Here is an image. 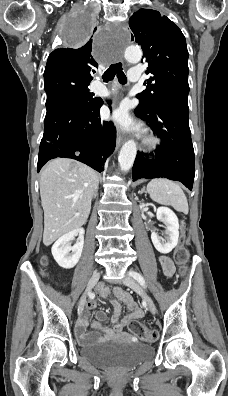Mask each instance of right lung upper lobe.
Instances as JSON below:
<instances>
[{
    "label": "right lung upper lobe",
    "instance_id": "obj_1",
    "mask_svg": "<svg viewBox=\"0 0 228 396\" xmlns=\"http://www.w3.org/2000/svg\"><path fill=\"white\" fill-rule=\"evenodd\" d=\"M97 62L92 56V40L79 48H60L48 57L44 76L72 74L92 80L91 73Z\"/></svg>",
    "mask_w": 228,
    "mask_h": 396
}]
</instances>
